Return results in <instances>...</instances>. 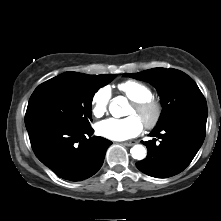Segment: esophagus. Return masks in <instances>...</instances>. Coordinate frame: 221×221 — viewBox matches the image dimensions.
Returning a JSON list of instances; mask_svg holds the SVG:
<instances>
[{"label": "esophagus", "mask_w": 221, "mask_h": 221, "mask_svg": "<svg viewBox=\"0 0 221 221\" xmlns=\"http://www.w3.org/2000/svg\"><path fill=\"white\" fill-rule=\"evenodd\" d=\"M135 143L134 142H132V141H127V142H123L122 143V145H124V146H132V145H134Z\"/></svg>", "instance_id": "obj_1"}]
</instances>
